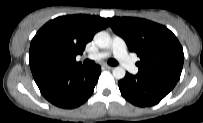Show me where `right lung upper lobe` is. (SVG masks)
<instances>
[{
    "label": "right lung upper lobe",
    "instance_id": "obj_1",
    "mask_svg": "<svg viewBox=\"0 0 203 123\" xmlns=\"http://www.w3.org/2000/svg\"><path fill=\"white\" fill-rule=\"evenodd\" d=\"M108 26L106 19L91 15H67L47 22L34 36L30 50L39 45L57 47L62 53V66H78L76 56L94 34Z\"/></svg>",
    "mask_w": 203,
    "mask_h": 123
}]
</instances>
